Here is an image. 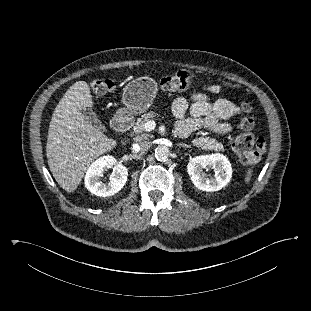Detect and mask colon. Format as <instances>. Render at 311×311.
<instances>
[{"instance_id":"1","label":"colon","mask_w":311,"mask_h":311,"mask_svg":"<svg viewBox=\"0 0 311 311\" xmlns=\"http://www.w3.org/2000/svg\"><path fill=\"white\" fill-rule=\"evenodd\" d=\"M192 83L193 75L190 72L178 71L162 77L159 85L164 91L176 92L186 90ZM90 85L97 96H103L114 89V83L109 79H96ZM239 108L241 111V118L237 124L239 134L233 140L232 148L244 164H256L265 152L266 143L264 138L256 137L253 134L255 123L249 115L252 110L251 103L244 100Z\"/></svg>"}]
</instances>
